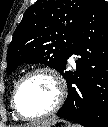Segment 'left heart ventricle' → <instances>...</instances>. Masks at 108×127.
Here are the masks:
<instances>
[{
	"label": "left heart ventricle",
	"mask_w": 108,
	"mask_h": 127,
	"mask_svg": "<svg viewBox=\"0 0 108 127\" xmlns=\"http://www.w3.org/2000/svg\"><path fill=\"white\" fill-rule=\"evenodd\" d=\"M56 99L57 87L53 79L46 74H37L23 83L17 105L23 114L36 116L50 110Z\"/></svg>",
	"instance_id": "obj_1"
}]
</instances>
